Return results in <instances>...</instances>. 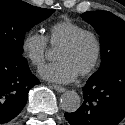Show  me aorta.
Instances as JSON below:
<instances>
[{"mask_svg":"<svg viewBox=\"0 0 125 125\" xmlns=\"http://www.w3.org/2000/svg\"><path fill=\"white\" fill-rule=\"evenodd\" d=\"M60 105L66 112H75L81 105V98L75 91H67L62 94Z\"/></svg>","mask_w":125,"mask_h":125,"instance_id":"obj_1","label":"aorta"}]
</instances>
